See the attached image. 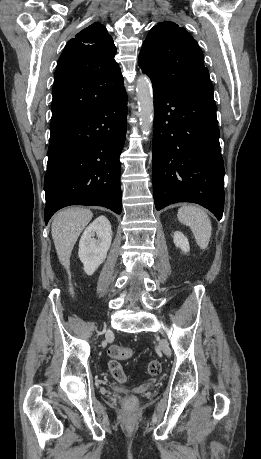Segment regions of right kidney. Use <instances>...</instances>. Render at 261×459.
Wrapping results in <instances>:
<instances>
[{"label": "right kidney", "mask_w": 261, "mask_h": 459, "mask_svg": "<svg viewBox=\"0 0 261 459\" xmlns=\"http://www.w3.org/2000/svg\"><path fill=\"white\" fill-rule=\"evenodd\" d=\"M95 235L97 238H94ZM112 230L109 220L101 215L96 218L83 232L78 255L84 265V271L92 275L104 262L111 246Z\"/></svg>", "instance_id": "obj_1"}]
</instances>
